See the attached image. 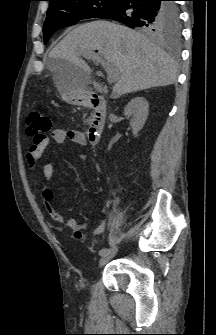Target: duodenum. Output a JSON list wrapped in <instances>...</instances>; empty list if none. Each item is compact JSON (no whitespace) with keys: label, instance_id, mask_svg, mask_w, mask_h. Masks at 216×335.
<instances>
[{"label":"duodenum","instance_id":"1","mask_svg":"<svg viewBox=\"0 0 216 335\" xmlns=\"http://www.w3.org/2000/svg\"><path fill=\"white\" fill-rule=\"evenodd\" d=\"M87 106L92 109L93 114L88 126L87 136L91 143L99 142L104 130L106 119V102L99 94H91L87 99Z\"/></svg>","mask_w":216,"mask_h":335}]
</instances>
